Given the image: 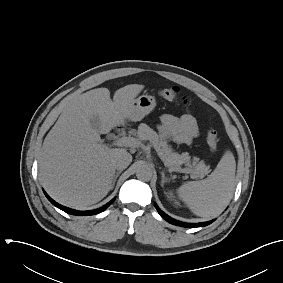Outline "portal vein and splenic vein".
<instances>
[{"mask_svg":"<svg viewBox=\"0 0 283 283\" xmlns=\"http://www.w3.org/2000/svg\"><path fill=\"white\" fill-rule=\"evenodd\" d=\"M140 141L136 138H133V137H121V138H118L115 142H114V145L116 146H125V147H138L140 145ZM154 149L156 150V152L158 153L160 159L162 161H164V158H163V153H162V150L160 149V147L156 144V143H152ZM164 165L167 167L166 163L164 162ZM170 171H176V172H180V173H191V170L188 169V168H178L176 170H172L170 169Z\"/></svg>","mask_w":283,"mask_h":283,"instance_id":"obj_1","label":"portal vein and splenic vein"}]
</instances>
